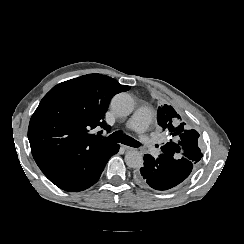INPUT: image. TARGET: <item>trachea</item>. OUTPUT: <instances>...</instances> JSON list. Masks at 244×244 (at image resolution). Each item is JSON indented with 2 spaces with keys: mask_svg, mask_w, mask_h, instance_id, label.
<instances>
[{
  "mask_svg": "<svg viewBox=\"0 0 244 244\" xmlns=\"http://www.w3.org/2000/svg\"><path fill=\"white\" fill-rule=\"evenodd\" d=\"M106 140L115 143H122L131 147H142L144 144L136 141L135 139L125 136L121 131H116L113 134L106 137Z\"/></svg>",
  "mask_w": 244,
  "mask_h": 244,
  "instance_id": "1",
  "label": "trachea"
}]
</instances>
